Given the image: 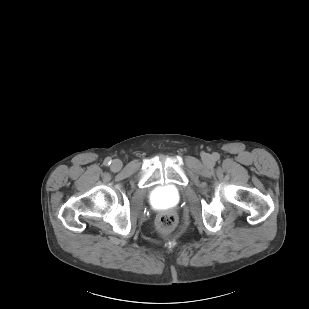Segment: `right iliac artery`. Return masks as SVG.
I'll list each match as a JSON object with an SVG mask.
<instances>
[{
  "label": "right iliac artery",
  "instance_id": "1",
  "mask_svg": "<svg viewBox=\"0 0 309 309\" xmlns=\"http://www.w3.org/2000/svg\"><path fill=\"white\" fill-rule=\"evenodd\" d=\"M104 163H105V165H110L111 164V159L110 158H106Z\"/></svg>",
  "mask_w": 309,
  "mask_h": 309
}]
</instances>
